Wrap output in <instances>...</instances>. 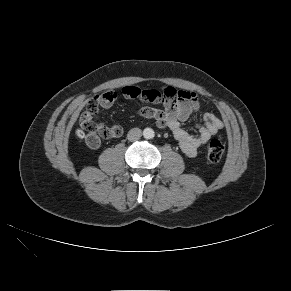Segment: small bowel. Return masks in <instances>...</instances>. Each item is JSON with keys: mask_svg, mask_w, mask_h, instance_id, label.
Masks as SVG:
<instances>
[{"mask_svg": "<svg viewBox=\"0 0 291 291\" xmlns=\"http://www.w3.org/2000/svg\"><path fill=\"white\" fill-rule=\"evenodd\" d=\"M150 94H155L153 100H150ZM122 95L126 99L162 103L163 110L142 107L138 110V115L143 118L153 119L159 128L170 129L182 152L190 158L195 157L198 149L224 127V122L212 113H205L201 116V122L197 125L198 131L196 135L190 134L182 127V123L200 109L198 96L192 91L167 87L162 92H159L157 90L141 89L136 86H125L122 89ZM96 97L99 101V109L111 107L117 95L115 92L108 91ZM111 127L120 129L122 134L120 126L113 125ZM87 145L92 149H96L100 145V140L95 146Z\"/></svg>", "mask_w": 291, "mask_h": 291, "instance_id": "obj_1", "label": "small bowel"}]
</instances>
